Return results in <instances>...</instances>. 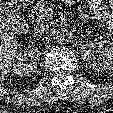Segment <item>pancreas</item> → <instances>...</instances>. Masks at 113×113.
I'll use <instances>...</instances> for the list:
<instances>
[{
	"mask_svg": "<svg viewBox=\"0 0 113 113\" xmlns=\"http://www.w3.org/2000/svg\"><path fill=\"white\" fill-rule=\"evenodd\" d=\"M49 9L47 3L43 0L38 1L31 9L30 11V18L32 22L35 23H42L44 21H47L50 16V12H45V10Z\"/></svg>",
	"mask_w": 113,
	"mask_h": 113,
	"instance_id": "cf45deb5",
	"label": "pancreas"
}]
</instances>
